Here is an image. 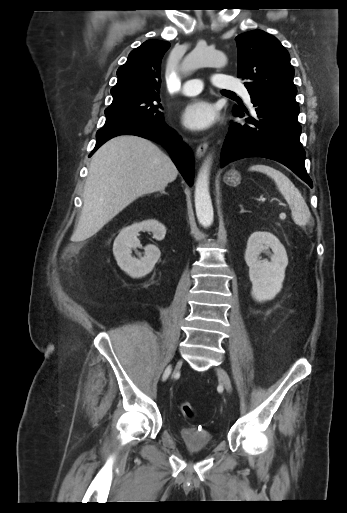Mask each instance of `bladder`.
<instances>
[{
  "label": "bladder",
  "instance_id": "1",
  "mask_svg": "<svg viewBox=\"0 0 347 513\" xmlns=\"http://www.w3.org/2000/svg\"><path fill=\"white\" fill-rule=\"evenodd\" d=\"M179 433L187 452L194 454L207 453L216 446V441L207 430L183 427Z\"/></svg>",
  "mask_w": 347,
  "mask_h": 513
}]
</instances>
